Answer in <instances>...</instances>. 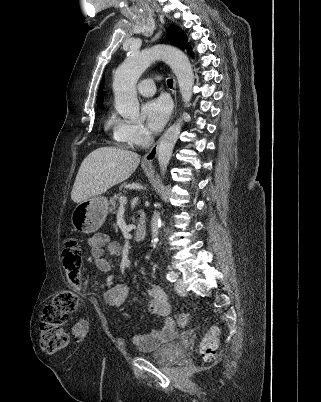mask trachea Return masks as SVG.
<instances>
[{
  "instance_id": "1",
  "label": "trachea",
  "mask_w": 321,
  "mask_h": 402,
  "mask_svg": "<svg viewBox=\"0 0 321 402\" xmlns=\"http://www.w3.org/2000/svg\"><path fill=\"white\" fill-rule=\"evenodd\" d=\"M167 85L172 88L173 87V80L172 79H168L167 80Z\"/></svg>"
}]
</instances>
